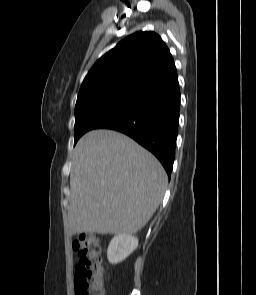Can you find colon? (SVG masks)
Listing matches in <instances>:
<instances>
[{
    "label": "colon",
    "mask_w": 256,
    "mask_h": 295,
    "mask_svg": "<svg viewBox=\"0 0 256 295\" xmlns=\"http://www.w3.org/2000/svg\"><path fill=\"white\" fill-rule=\"evenodd\" d=\"M79 257L74 276L75 295H104L101 245L99 240L81 233L73 241Z\"/></svg>",
    "instance_id": "1"
}]
</instances>
